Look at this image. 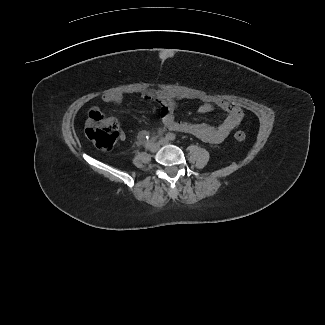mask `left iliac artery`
<instances>
[{
  "label": "left iliac artery",
  "mask_w": 325,
  "mask_h": 325,
  "mask_svg": "<svg viewBox=\"0 0 325 325\" xmlns=\"http://www.w3.org/2000/svg\"><path fill=\"white\" fill-rule=\"evenodd\" d=\"M166 138L168 139V140H175V138H176V136H175V134H173V133H167L166 134Z\"/></svg>",
  "instance_id": "left-iliac-artery-1"
}]
</instances>
